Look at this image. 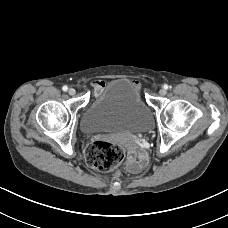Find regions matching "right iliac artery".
Masks as SVG:
<instances>
[{"label": "right iliac artery", "instance_id": "obj_1", "mask_svg": "<svg viewBox=\"0 0 228 228\" xmlns=\"http://www.w3.org/2000/svg\"><path fill=\"white\" fill-rule=\"evenodd\" d=\"M62 90L66 92L68 90V87L67 86H63Z\"/></svg>", "mask_w": 228, "mask_h": 228}]
</instances>
